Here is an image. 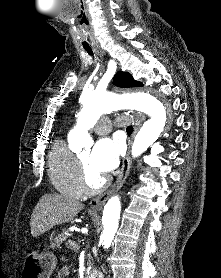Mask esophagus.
Here are the masks:
<instances>
[{"label":"esophagus","instance_id":"1","mask_svg":"<svg viewBox=\"0 0 221 278\" xmlns=\"http://www.w3.org/2000/svg\"><path fill=\"white\" fill-rule=\"evenodd\" d=\"M98 54L100 55V57H102L103 55L101 51L100 52L98 51ZM134 116H135V127H134L133 136H135V134L138 132L140 126L145 120V115L142 113L134 112ZM130 168H131V157H130V149H129L127 155L123 159L121 173L118 176L117 181L114 184L113 188L107 192H104L98 197L92 199L89 204L90 209H92L93 211H99L102 209L106 200L124 183L125 179L129 174Z\"/></svg>","mask_w":221,"mask_h":278}]
</instances>
